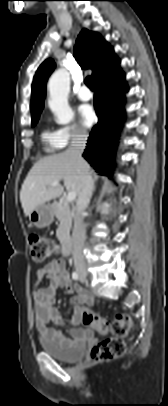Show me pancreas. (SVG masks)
Here are the masks:
<instances>
[{
  "instance_id": "1",
  "label": "pancreas",
  "mask_w": 168,
  "mask_h": 406,
  "mask_svg": "<svg viewBox=\"0 0 168 406\" xmlns=\"http://www.w3.org/2000/svg\"><path fill=\"white\" fill-rule=\"evenodd\" d=\"M54 214L60 222L56 235L59 240H63L66 236H68L71 229L74 208L73 206L71 207L67 201L62 200L56 204Z\"/></svg>"
}]
</instances>
